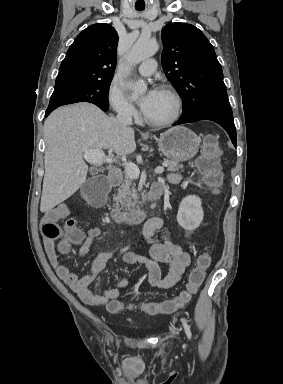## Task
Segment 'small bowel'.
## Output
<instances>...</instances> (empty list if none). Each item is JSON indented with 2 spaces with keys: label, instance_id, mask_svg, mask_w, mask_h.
<instances>
[{
  "label": "small bowel",
  "instance_id": "1",
  "mask_svg": "<svg viewBox=\"0 0 283 384\" xmlns=\"http://www.w3.org/2000/svg\"><path fill=\"white\" fill-rule=\"evenodd\" d=\"M180 180L181 177L178 174H170L168 176L170 183L176 184L179 183ZM68 215L69 211L67 206L65 204H59L47 211L42 219L44 246L51 265L54 267L57 275L78 294L84 303L99 306L116 301L121 291L129 285L127 278L119 279L113 288L107 289L101 294L93 293L89 289V285L100 275L106 263L111 259L109 253L99 254L95 258L90 272L83 277H78L66 265L60 263L54 239L44 234L43 226L47 223H55L60 219L66 218ZM163 229L164 221L161 218L152 217L148 219L143 227L144 238L150 245L148 256L128 252L124 254L123 261L127 264L140 263L144 265L148 273V284L152 287L167 289L181 280L185 269L190 265V256L181 246L173 243L166 235L163 236L161 242H155L153 240L154 235ZM99 235L100 229L98 227L87 230V241L80 249V255L87 253L90 241ZM158 262L165 263L169 266V272L164 277L161 275V271L157 265Z\"/></svg>",
  "mask_w": 283,
  "mask_h": 384
}]
</instances>
